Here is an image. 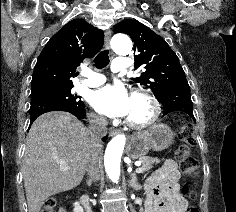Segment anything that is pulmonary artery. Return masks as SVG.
I'll return each mask as SVG.
<instances>
[{"label":"pulmonary artery","mask_w":236,"mask_h":212,"mask_svg":"<svg viewBox=\"0 0 236 212\" xmlns=\"http://www.w3.org/2000/svg\"><path fill=\"white\" fill-rule=\"evenodd\" d=\"M127 67V60L125 58L118 57L114 60L111 68L113 72H118L126 69ZM105 80L106 79L102 74L86 71L85 78L80 82V85L84 87H97L103 84Z\"/></svg>","instance_id":"1"}]
</instances>
